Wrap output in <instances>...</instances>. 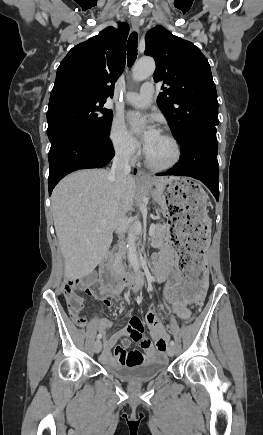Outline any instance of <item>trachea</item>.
Returning <instances> with one entry per match:
<instances>
[{
    "label": "trachea",
    "instance_id": "obj_1",
    "mask_svg": "<svg viewBox=\"0 0 263 435\" xmlns=\"http://www.w3.org/2000/svg\"><path fill=\"white\" fill-rule=\"evenodd\" d=\"M137 43H138V35L136 32H132L127 41L128 67H131L137 58Z\"/></svg>",
    "mask_w": 263,
    "mask_h": 435
}]
</instances>
